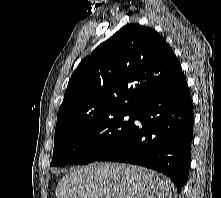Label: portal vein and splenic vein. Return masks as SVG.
<instances>
[{"instance_id":"1","label":"portal vein and splenic vein","mask_w":221,"mask_h":198,"mask_svg":"<svg viewBox=\"0 0 221 198\" xmlns=\"http://www.w3.org/2000/svg\"><path fill=\"white\" fill-rule=\"evenodd\" d=\"M105 198H111V196L110 195H106Z\"/></svg>"}]
</instances>
